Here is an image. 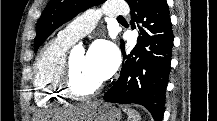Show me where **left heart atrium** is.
Returning <instances> with one entry per match:
<instances>
[{
    "instance_id": "39dd6f15",
    "label": "left heart atrium",
    "mask_w": 217,
    "mask_h": 121,
    "mask_svg": "<svg viewBox=\"0 0 217 121\" xmlns=\"http://www.w3.org/2000/svg\"><path fill=\"white\" fill-rule=\"evenodd\" d=\"M86 59L101 81L110 77L119 63L117 48L107 40L94 42L86 55Z\"/></svg>"
}]
</instances>
